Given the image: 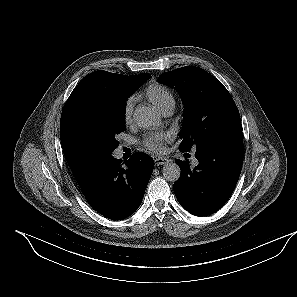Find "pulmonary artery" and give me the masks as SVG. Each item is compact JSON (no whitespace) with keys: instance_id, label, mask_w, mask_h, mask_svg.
I'll return each mask as SVG.
<instances>
[{"instance_id":"pulmonary-artery-1","label":"pulmonary artery","mask_w":297,"mask_h":297,"mask_svg":"<svg viewBox=\"0 0 297 297\" xmlns=\"http://www.w3.org/2000/svg\"><path fill=\"white\" fill-rule=\"evenodd\" d=\"M173 108H174V106H169V107H167L166 109H164V110L162 111V113H163L165 116H169V115L172 114Z\"/></svg>"}]
</instances>
